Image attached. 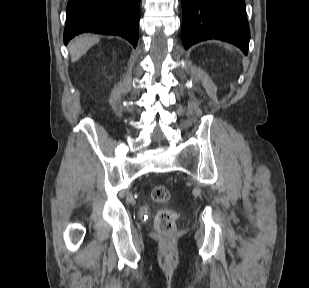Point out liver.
<instances>
[{
	"instance_id": "liver-1",
	"label": "liver",
	"mask_w": 309,
	"mask_h": 288,
	"mask_svg": "<svg viewBox=\"0 0 309 288\" xmlns=\"http://www.w3.org/2000/svg\"><path fill=\"white\" fill-rule=\"evenodd\" d=\"M99 42V37L91 34H84L76 37L69 45L72 62L80 59L90 47Z\"/></svg>"
}]
</instances>
